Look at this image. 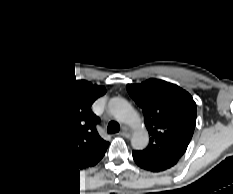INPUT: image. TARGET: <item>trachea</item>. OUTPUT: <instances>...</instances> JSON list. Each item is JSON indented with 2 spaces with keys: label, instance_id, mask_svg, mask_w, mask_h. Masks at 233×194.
Listing matches in <instances>:
<instances>
[{
  "label": "trachea",
  "instance_id": "3493384b",
  "mask_svg": "<svg viewBox=\"0 0 233 194\" xmlns=\"http://www.w3.org/2000/svg\"><path fill=\"white\" fill-rule=\"evenodd\" d=\"M108 130H109V132H118L119 126L117 123L112 122L108 125Z\"/></svg>",
  "mask_w": 233,
  "mask_h": 194
}]
</instances>
